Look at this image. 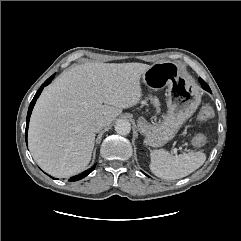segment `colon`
I'll return each mask as SVG.
<instances>
[{
    "instance_id": "colon-1",
    "label": "colon",
    "mask_w": 241,
    "mask_h": 241,
    "mask_svg": "<svg viewBox=\"0 0 241 241\" xmlns=\"http://www.w3.org/2000/svg\"><path fill=\"white\" fill-rule=\"evenodd\" d=\"M212 116L213 109L209 105H203L198 112V119L201 122L209 120ZM192 143L195 146H203L206 143V137L202 134H198L193 138Z\"/></svg>"
}]
</instances>
